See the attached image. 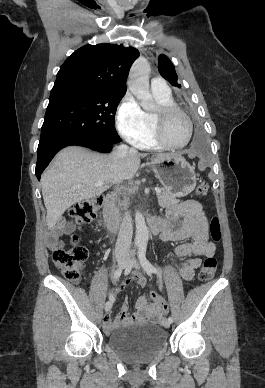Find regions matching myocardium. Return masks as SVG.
<instances>
[{
  "instance_id": "myocardium-1",
  "label": "myocardium",
  "mask_w": 265,
  "mask_h": 388,
  "mask_svg": "<svg viewBox=\"0 0 265 388\" xmlns=\"http://www.w3.org/2000/svg\"><path fill=\"white\" fill-rule=\"evenodd\" d=\"M149 91H151L152 94L154 95V91H168V90H152V87L149 86ZM172 111H176L179 114H181L182 117L184 118V121H185L186 138H185V141L179 145H172V144L168 143L166 141V139L164 138L162 131H161L160 115L166 114V113H169ZM152 121H153L154 136H155L156 140L158 141V143L164 147H167L170 149H180V148L185 147L191 139L192 130H193L191 119L184 110H182L180 107H178L175 104H160V105H158L157 109L152 114Z\"/></svg>"
}]
</instances>
